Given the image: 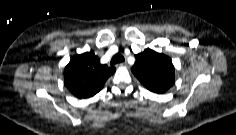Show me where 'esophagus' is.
Returning a JSON list of instances; mask_svg holds the SVG:
<instances>
[{"instance_id":"1","label":"esophagus","mask_w":236,"mask_h":135,"mask_svg":"<svg viewBox=\"0 0 236 135\" xmlns=\"http://www.w3.org/2000/svg\"><path fill=\"white\" fill-rule=\"evenodd\" d=\"M119 65H120V66H127V62L125 61V62H123V63H120Z\"/></svg>"}]
</instances>
